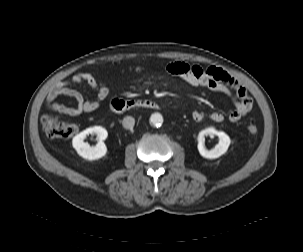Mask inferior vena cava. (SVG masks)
<instances>
[{
	"label": "inferior vena cava",
	"mask_w": 303,
	"mask_h": 252,
	"mask_svg": "<svg viewBox=\"0 0 303 252\" xmlns=\"http://www.w3.org/2000/svg\"><path fill=\"white\" fill-rule=\"evenodd\" d=\"M134 124H135V120L131 116L125 117L122 121V125L126 129H132L134 127Z\"/></svg>",
	"instance_id": "602c4592"
}]
</instances>
